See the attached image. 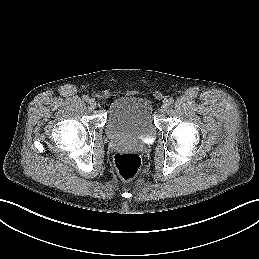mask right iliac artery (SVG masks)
<instances>
[{
  "instance_id": "82829eb1",
  "label": "right iliac artery",
  "mask_w": 259,
  "mask_h": 259,
  "mask_svg": "<svg viewBox=\"0 0 259 259\" xmlns=\"http://www.w3.org/2000/svg\"><path fill=\"white\" fill-rule=\"evenodd\" d=\"M83 99H84L86 102H88V101L90 100V98H89L88 95H84V96H83Z\"/></svg>"
}]
</instances>
